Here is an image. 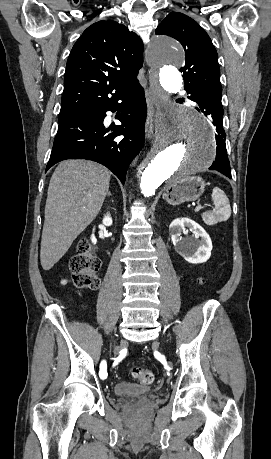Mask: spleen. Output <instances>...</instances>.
Instances as JSON below:
<instances>
[{
	"label": "spleen",
	"instance_id": "3e777b00",
	"mask_svg": "<svg viewBox=\"0 0 271 459\" xmlns=\"http://www.w3.org/2000/svg\"><path fill=\"white\" fill-rule=\"evenodd\" d=\"M212 200L215 208L207 218H204L205 224H217V222H226L231 216L230 202L220 188H214L212 192Z\"/></svg>",
	"mask_w": 271,
	"mask_h": 459
}]
</instances>
